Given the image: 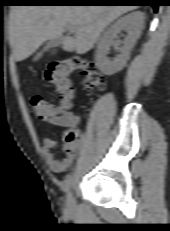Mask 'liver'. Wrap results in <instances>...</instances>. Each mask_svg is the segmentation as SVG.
<instances>
[{
	"label": "liver",
	"instance_id": "6515ba94",
	"mask_svg": "<svg viewBox=\"0 0 170 231\" xmlns=\"http://www.w3.org/2000/svg\"><path fill=\"white\" fill-rule=\"evenodd\" d=\"M135 5L14 6L10 11L9 39L16 61L32 55L45 41L59 39L64 51L85 54L102 31ZM74 29V36L63 37Z\"/></svg>",
	"mask_w": 170,
	"mask_h": 231
}]
</instances>
